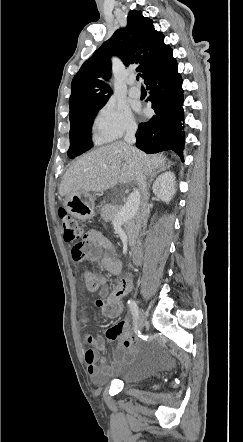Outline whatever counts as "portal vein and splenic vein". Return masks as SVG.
<instances>
[{"instance_id":"obj_1","label":"portal vein and splenic vein","mask_w":243,"mask_h":442,"mask_svg":"<svg viewBox=\"0 0 243 442\" xmlns=\"http://www.w3.org/2000/svg\"><path fill=\"white\" fill-rule=\"evenodd\" d=\"M137 207V194L134 192L128 198V201L124 207L116 214L114 221L120 222L132 218L137 211Z\"/></svg>"}]
</instances>
